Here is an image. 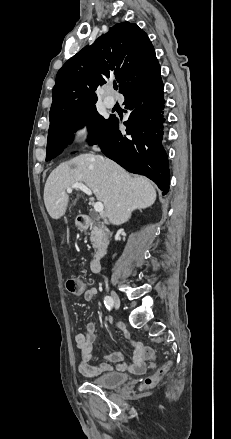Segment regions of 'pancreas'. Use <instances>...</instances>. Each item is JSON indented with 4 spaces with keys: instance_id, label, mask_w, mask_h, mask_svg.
I'll return each instance as SVG.
<instances>
[{
    "instance_id": "1",
    "label": "pancreas",
    "mask_w": 231,
    "mask_h": 439,
    "mask_svg": "<svg viewBox=\"0 0 231 439\" xmlns=\"http://www.w3.org/2000/svg\"><path fill=\"white\" fill-rule=\"evenodd\" d=\"M90 240L94 248H100L104 245L105 235L100 228L94 227L91 229Z\"/></svg>"
}]
</instances>
